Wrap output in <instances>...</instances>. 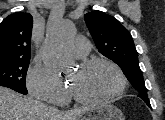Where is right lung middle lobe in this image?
Segmentation results:
<instances>
[{
  "instance_id": "1",
  "label": "right lung middle lobe",
  "mask_w": 165,
  "mask_h": 120,
  "mask_svg": "<svg viewBox=\"0 0 165 120\" xmlns=\"http://www.w3.org/2000/svg\"><path fill=\"white\" fill-rule=\"evenodd\" d=\"M30 59L0 58V86L27 94L26 73Z\"/></svg>"
}]
</instances>
